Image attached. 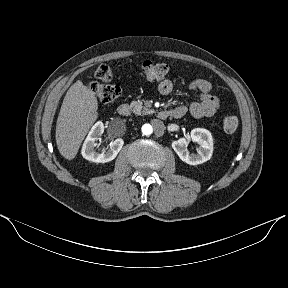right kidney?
Returning a JSON list of instances; mask_svg holds the SVG:
<instances>
[{"mask_svg": "<svg viewBox=\"0 0 288 288\" xmlns=\"http://www.w3.org/2000/svg\"><path fill=\"white\" fill-rule=\"evenodd\" d=\"M103 132L104 124L101 121L95 123L91 128L81 150V154L86 160L96 163L110 162L115 159L121 150L124 141L122 138H117L110 143V147L107 151L101 153L96 152V141L98 140V137L103 134Z\"/></svg>", "mask_w": 288, "mask_h": 288, "instance_id": "ca27d5eb", "label": "right kidney"}]
</instances>
